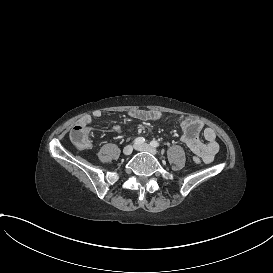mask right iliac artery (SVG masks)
Wrapping results in <instances>:
<instances>
[{
    "label": "right iliac artery",
    "mask_w": 273,
    "mask_h": 273,
    "mask_svg": "<svg viewBox=\"0 0 273 273\" xmlns=\"http://www.w3.org/2000/svg\"><path fill=\"white\" fill-rule=\"evenodd\" d=\"M145 142V139L143 137H138L134 140L135 145H141Z\"/></svg>",
    "instance_id": "right-iliac-artery-1"
}]
</instances>
